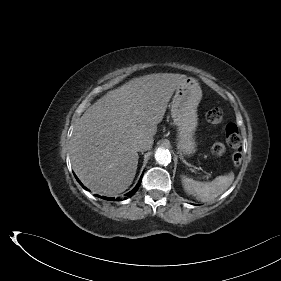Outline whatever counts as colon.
I'll return each mask as SVG.
<instances>
[{
    "instance_id": "1",
    "label": "colon",
    "mask_w": 281,
    "mask_h": 281,
    "mask_svg": "<svg viewBox=\"0 0 281 281\" xmlns=\"http://www.w3.org/2000/svg\"><path fill=\"white\" fill-rule=\"evenodd\" d=\"M207 120L215 125L224 123V114L221 108L215 107L207 112ZM226 144L234 150L233 163L238 166L241 163V154L239 148L241 145V137L238 127L234 123H228L225 126ZM225 151V146L222 143H216L211 148V154L214 157L221 156Z\"/></svg>"
}]
</instances>
